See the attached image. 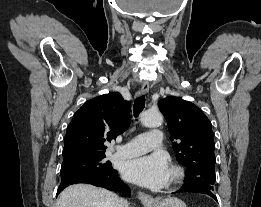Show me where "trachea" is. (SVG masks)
Returning <instances> with one entry per match:
<instances>
[{
    "mask_svg": "<svg viewBox=\"0 0 261 207\" xmlns=\"http://www.w3.org/2000/svg\"><path fill=\"white\" fill-rule=\"evenodd\" d=\"M144 107H145V96L143 95L136 98L134 102V106H133L134 116L138 117V115L143 111Z\"/></svg>",
    "mask_w": 261,
    "mask_h": 207,
    "instance_id": "trachea-1",
    "label": "trachea"
}]
</instances>
